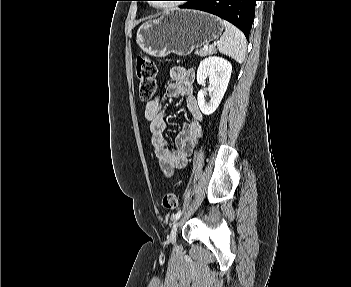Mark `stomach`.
Masks as SVG:
<instances>
[{
	"label": "stomach",
	"instance_id": "1",
	"mask_svg": "<svg viewBox=\"0 0 351 287\" xmlns=\"http://www.w3.org/2000/svg\"><path fill=\"white\" fill-rule=\"evenodd\" d=\"M222 21L197 10H170L160 18L142 24L136 42L140 49L154 57L190 54L222 33Z\"/></svg>",
	"mask_w": 351,
	"mask_h": 287
}]
</instances>
